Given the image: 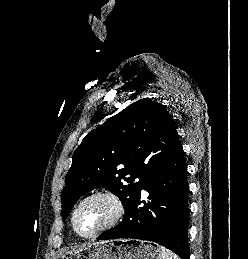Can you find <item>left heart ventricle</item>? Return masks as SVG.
Returning <instances> with one entry per match:
<instances>
[{"mask_svg":"<svg viewBox=\"0 0 248 259\" xmlns=\"http://www.w3.org/2000/svg\"><path fill=\"white\" fill-rule=\"evenodd\" d=\"M113 203L106 198H95L84 203L77 212L76 225L85 235L94 233L114 216Z\"/></svg>","mask_w":248,"mask_h":259,"instance_id":"left-heart-ventricle-1","label":"left heart ventricle"}]
</instances>
